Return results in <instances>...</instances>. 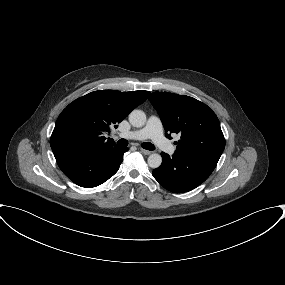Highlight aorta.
<instances>
[{
	"label": "aorta",
	"mask_w": 285,
	"mask_h": 285,
	"mask_svg": "<svg viewBox=\"0 0 285 285\" xmlns=\"http://www.w3.org/2000/svg\"><path fill=\"white\" fill-rule=\"evenodd\" d=\"M146 114L142 110H133L129 114V122L134 127H142L146 123ZM162 163V157L160 154L153 153L148 157V165L151 168H158Z\"/></svg>",
	"instance_id": "aorta-1"
}]
</instances>
